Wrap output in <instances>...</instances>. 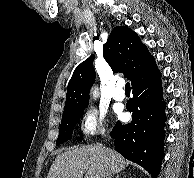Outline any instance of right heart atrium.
Returning a JSON list of instances; mask_svg holds the SVG:
<instances>
[{"instance_id": "obj_1", "label": "right heart atrium", "mask_w": 194, "mask_h": 178, "mask_svg": "<svg viewBox=\"0 0 194 178\" xmlns=\"http://www.w3.org/2000/svg\"><path fill=\"white\" fill-rule=\"evenodd\" d=\"M79 132L84 139H90L107 132L105 114L96 108L86 109L79 120Z\"/></svg>"}]
</instances>
